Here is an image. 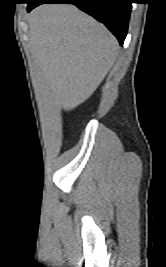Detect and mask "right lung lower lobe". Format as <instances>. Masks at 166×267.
Instances as JSON below:
<instances>
[{"label":"right lung lower lobe","instance_id":"right-lung-lower-lobe-1","mask_svg":"<svg viewBox=\"0 0 166 267\" xmlns=\"http://www.w3.org/2000/svg\"><path fill=\"white\" fill-rule=\"evenodd\" d=\"M43 3H71L87 12L117 37L123 45L131 12L132 0H31L27 11Z\"/></svg>","mask_w":166,"mask_h":267}]
</instances>
